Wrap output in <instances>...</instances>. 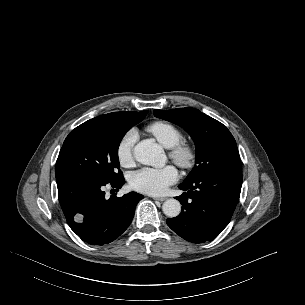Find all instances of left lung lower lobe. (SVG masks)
Listing matches in <instances>:
<instances>
[{
  "label": "left lung lower lobe",
  "instance_id": "left-lung-lower-lobe-1",
  "mask_svg": "<svg viewBox=\"0 0 305 305\" xmlns=\"http://www.w3.org/2000/svg\"><path fill=\"white\" fill-rule=\"evenodd\" d=\"M241 166L221 168L182 183L184 191L176 197L182 212L167 219L168 226L179 236L193 243L211 241L228 225L240 197Z\"/></svg>",
  "mask_w": 305,
  "mask_h": 305
}]
</instances>
